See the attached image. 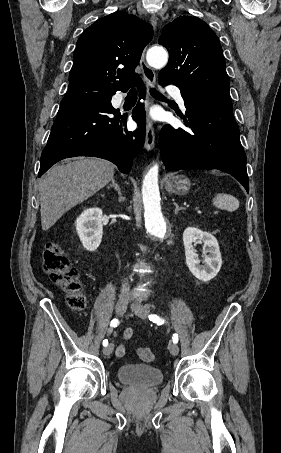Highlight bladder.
Masks as SVG:
<instances>
[{"label":"bladder","mask_w":281,"mask_h":453,"mask_svg":"<svg viewBox=\"0 0 281 453\" xmlns=\"http://www.w3.org/2000/svg\"><path fill=\"white\" fill-rule=\"evenodd\" d=\"M117 376L123 383L141 388L155 387L163 381L161 370L148 365H122Z\"/></svg>","instance_id":"1"}]
</instances>
